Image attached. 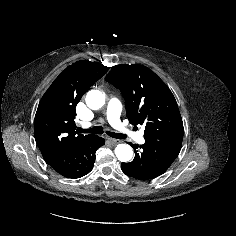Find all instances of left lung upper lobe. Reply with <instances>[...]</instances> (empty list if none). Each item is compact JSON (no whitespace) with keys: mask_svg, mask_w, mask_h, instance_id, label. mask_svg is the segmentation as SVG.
Here are the masks:
<instances>
[{"mask_svg":"<svg viewBox=\"0 0 236 236\" xmlns=\"http://www.w3.org/2000/svg\"><path fill=\"white\" fill-rule=\"evenodd\" d=\"M105 80L120 89L132 125H145V139L183 136L176 100L168 86L148 67L117 65Z\"/></svg>","mask_w":236,"mask_h":236,"instance_id":"1","label":"left lung upper lobe"}]
</instances>
